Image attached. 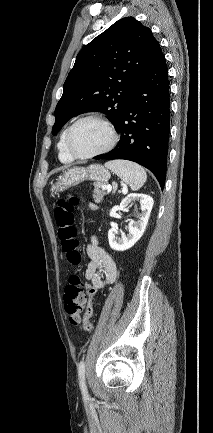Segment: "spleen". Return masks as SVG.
<instances>
[{"label": "spleen", "instance_id": "1", "mask_svg": "<svg viewBox=\"0 0 213 433\" xmlns=\"http://www.w3.org/2000/svg\"><path fill=\"white\" fill-rule=\"evenodd\" d=\"M105 167L114 172L131 190L140 189L147 179L145 170L138 164L126 160H113L105 163Z\"/></svg>", "mask_w": 213, "mask_h": 433}]
</instances>
